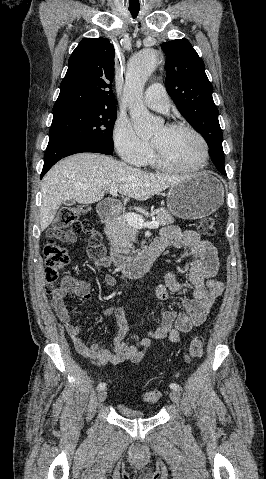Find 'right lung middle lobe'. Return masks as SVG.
Returning <instances> with one entry per match:
<instances>
[{
  "mask_svg": "<svg viewBox=\"0 0 266 479\" xmlns=\"http://www.w3.org/2000/svg\"><path fill=\"white\" fill-rule=\"evenodd\" d=\"M116 109H73L53 113L51 136L90 141L114 149L113 127Z\"/></svg>",
  "mask_w": 266,
  "mask_h": 479,
  "instance_id": "right-lung-middle-lobe-1",
  "label": "right lung middle lobe"
}]
</instances>
